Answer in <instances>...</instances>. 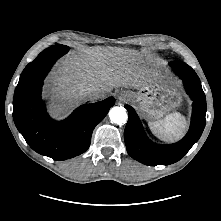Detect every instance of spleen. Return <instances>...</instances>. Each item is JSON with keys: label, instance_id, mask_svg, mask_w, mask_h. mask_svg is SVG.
<instances>
[{"label": "spleen", "instance_id": "3e777b00", "mask_svg": "<svg viewBox=\"0 0 221 221\" xmlns=\"http://www.w3.org/2000/svg\"><path fill=\"white\" fill-rule=\"evenodd\" d=\"M152 133L163 141H175L186 132L187 121L179 112H173L161 120L149 122Z\"/></svg>", "mask_w": 221, "mask_h": 221}]
</instances>
